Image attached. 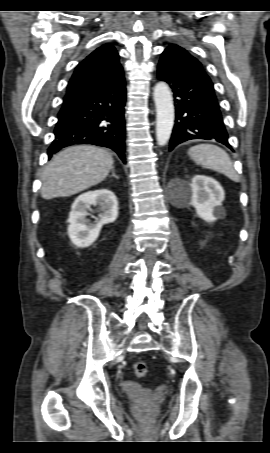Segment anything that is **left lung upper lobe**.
<instances>
[{
    "label": "left lung upper lobe",
    "mask_w": 270,
    "mask_h": 453,
    "mask_svg": "<svg viewBox=\"0 0 270 453\" xmlns=\"http://www.w3.org/2000/svg\"><path fill=\"white\" fill-rule=\"evenodd\" d=\"M169 57V58H174L176 60H179L181 62H186L187 64L194 65L198 70L206 75V73L203 70V67L201 63L194 58L192 55H190L184 48L171 44L168 48L165 49V51L162 54V57ZM207 76V75H206Z\"/></svg>",
    "instance_id": "5c2ea615"
}]
</instances>
